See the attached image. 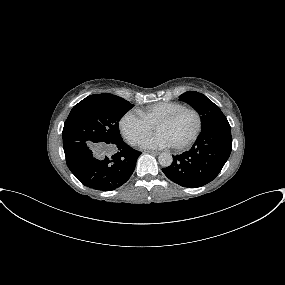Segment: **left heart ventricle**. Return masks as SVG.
<instances>
[{
	"mask_svg": "<svg viewBox=\"0 0 285 285\" xmlns=\"http://www.w3.org/2000/svg\"><path fill=\"white\" fill-rule=\"evenodd\" d=\"M197 127L194 113L186 111L178 115L173 121L159 125L157 132L164 134L172 146H179L188 140Z\"/></svg>",
	"mask_w": 285,
	"mask_h": 285,
	"instance_id": "obj_1",
	"label": "left heart ventricle"
}]
</instances>
